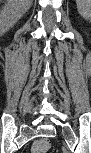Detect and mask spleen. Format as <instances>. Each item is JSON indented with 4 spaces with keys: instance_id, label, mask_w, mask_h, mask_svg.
Segmentation results:
<instances>
[{
    "instance_id": "3e777b00",
    "label": "spleen",
    "mask_w": 91,
    "mask_h": 153,
    "mask_svg": "<svg viewBox=\"0 0 91 153\" xmlns=\"http://www.w3.org/2000/svg\"><path fill=\"white\" fill-rule=\"evenodd\" d=\"M77 10L79 14L85 19L89 20L91 17V1L90 0H77Z\"/></svg>"
}]
</instances>
